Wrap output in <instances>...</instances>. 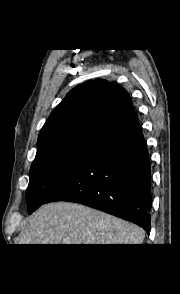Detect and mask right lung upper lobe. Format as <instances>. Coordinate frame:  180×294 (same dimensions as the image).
Instances as JSON below:
<instances>
[{
	"instance_id": "1",
	"label": "right lung upper lobe",
	"mask_w": 180,
	"mask_h": 294,
	"mask_svg": "<svg viewBox=\"0 0 180 294\" xmlns=\"http://www.w3.org/2000/svg\"><path fill=\"white\" fill-rule=\"evenodd\" d=\"M132 113L131 99L121 86L101 79L79 85L52 111L39 134L37 152L74 139L100 141Z\"/></svg>"
}]
</instances>
